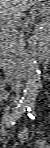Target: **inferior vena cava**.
Listing matches in <instances>:
<instances>
[{
    "instance_id": "obj_1",
    "label": "inferior vena cava",
    "mask_w": 50,
    "mask_h": 148,
    "mask_svg": "<svg viewBox=\"0 0 50 148\" xmlns=\"http://www.w3.org/2000/svg\"><path fill=\"white\" fill-rule=\"evenodd\" d=\"M15 92H16V95H17V97H15V99H18V97H19V90H15Z\"/></svg>"
}]
</instances>
